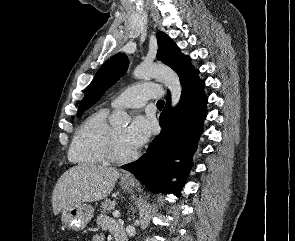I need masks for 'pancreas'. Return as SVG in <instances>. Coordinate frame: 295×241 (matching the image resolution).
<instances>
[{"label": "pancreas", "mask_w": 295, "mask_h": 241, "mask_svg": "<svg viewBox=\"0 0 295 241\" xmlns=\"http://www.w3.org/2000/svg\"><path fill=\"white\" fill-rule=\"evenodd\" d=\"M115 208V202H112L111 200L106 199L104 202H102L100 206L101 212H110L111 210H114Z\"/></svg>", "instance_id": "obj_1"}]
</instances>
